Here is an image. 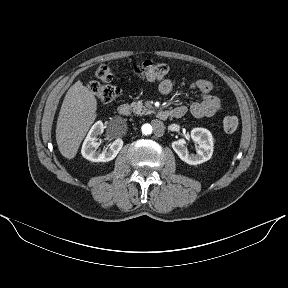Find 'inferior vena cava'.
I'll list each match as a JSON object with an SVG mask.
<instances>
[{"label": "inferior vena cava", "instance_id": "obj_1", "mask_svg": "<svg viewBox=\"0 0 288 288\" xmlns=\"http://www.w3.org/2000/svg\"><path fill=\"white\" fill-rule=\"evenodd\" d=\"M149 124L155 129V134L157 136H162L164 134V126L156 117H151L149 119Z\"/></svg>", "mask_w": 288, "mask_h": 288}]
</instances>
